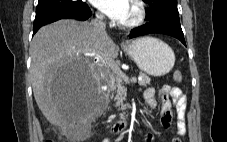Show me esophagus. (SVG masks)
Instances as JSON below:
<instances>
[{
  "instance_id": "esophagus-1",
  "label": "esophagus",
  "mask_w": 227,
  "mask_h": 142,
  "mask_svg": "<svg viewBox=\"0 0 227 142\" xmlns=\"http://www.w3.org/2000/svg\"><path fill=\"white\" fill-rule=\"evenodd\" d=\"M121 45H122V46H124L125 44H124V43H122Z\"/></svg>"
}]
</instances>
